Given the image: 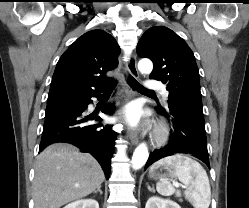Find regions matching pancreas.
Returning <instances> with one entry per match:
<instances>
[{"mask_svg": "<svg viewBox=\"0 0 249 208\" xmlns=\"http://www.w3.org/2000/svg\"><path fill=\"white\" fill-rule=\"evenodd\" d=\"M176 197H181V192L180 191L176 192ZM179 201L182 202V199H179Z\"/></svg>", "mask_w": 249, "mask_h": 208, "instance_id": "cf45deb5", "label": "pancreas"}]
</instances>
